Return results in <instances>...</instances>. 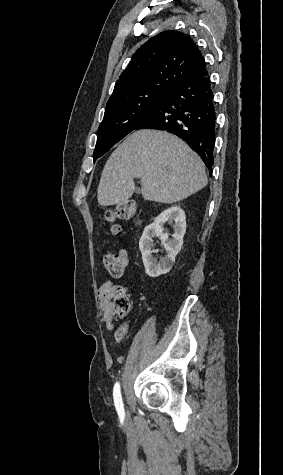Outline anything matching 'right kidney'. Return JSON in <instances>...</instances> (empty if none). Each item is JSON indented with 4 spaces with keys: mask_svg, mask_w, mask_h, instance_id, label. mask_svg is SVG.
<instances>
[{
    "mask_svg": "<svg viewBox=\"0 0 283 475\" xmlns=\"http://www.w3.org/2000/svg\"><path fill=\"white\" fill-rule=\"evenodd\" d=\"M166 222H168V224L175 222L172 239H168V234H164L163 226ZM185 232V212L181 210L180 206L167 208V210H164V212H161V214L155 218L153 224L146 226L139 241V249L142 253L147 275H150V277H158V275L168 273V271L172 269L175 257L183 245ZM154 236H160L167 253L160 261L152 255V247L154 245L152 238H154Z\"/></svg>",
    "mask_w": 283,
    "mask_h": 475,
    "instance_id": "1",
    "label": "right kidney"
}]
</instances>
